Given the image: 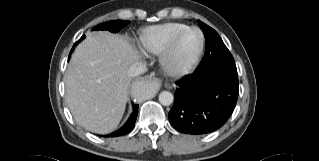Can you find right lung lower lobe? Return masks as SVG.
Instances as JSON below:
<instances>
[{
	"instance_id": "98d812e1",
	"label": "right lung lower lobe",
	"mask_w": 319,
	"mask_h": 161,
	"mask_svg": "<svg viewBox=\"0 0 319 161\" xmlns=\"http://www.w3.org/2000/svg\"><path fill=\"white\" fill-rule=\"evenodd\" d=\"M138 107H139L138 105H133V113L131 114V116L128 119V121L125 123V125L122 128H120L116 132H113L110 135L111 137L125 135V134L129 133L133 129L135 121H136V118H137V114H138Z\"/></svg>"
}]
</instances>
